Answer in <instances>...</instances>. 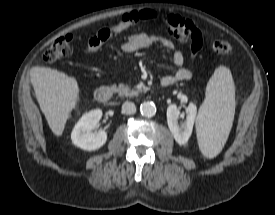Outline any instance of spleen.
Returning a JSON list of instances; mask_svg holds the SVG:
<instances>
[{
  "label": "spleen",
  "mask_w": 275,
  "mask_h": 215,
  "mask_svg": "<svg viewBox=\"0 0 275 215\" xmlns=\"http://www.w3.org/2000/svg\"><path fill=\"white\" fill-rule=\"evenodd\" d=\"M235 114V87L226 66L215 69L207 83L205 100L199 108L196 132L202 154L211 159L222 150Z\"/></svg>",
  "instance_id": "1"
}]
</instances>
